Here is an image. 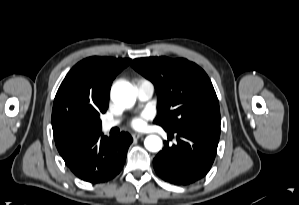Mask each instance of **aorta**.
Returning <instances> with one entry per match:
<instances>
[{
  "mask_svg": "<svg viewBox=\"0 0 299 205\" xmlns=\"http://www.w3.org/2000/svg\"><path fill=\"white\" fill-rule=\"evenodd\" d=\"M112 100L122 107H132L136 101L134 87L129 82H119L111 89ZM145 148L150 152H158L162 148V140L156 135H149L144 141Z\"/></svg>",
  "mask_w": 299,
  "mask_h": 205,
  "instance_id": "1",
  "label": "aorta"
}]
</instances>
